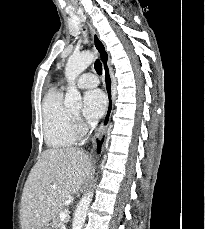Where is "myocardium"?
<instances>
[{
	"instance_id": "myocardium-1",
	"label": "myocardium",
	"mask_w": 205,
	"mask_h": 229,
	"mask_svg": "<svg viewBox=\"0 0 205 229\" xmlns=\"http://www.w3.org/2000/svg\"><path fill=\"white\" fill-rule=\"evenodd\" d=\"M72 115L75 120V129H76L77 134H82L84 132V128L76 122V117H77L76 114H72Z\"/></svg>"
}]
</instances>
